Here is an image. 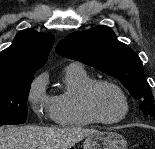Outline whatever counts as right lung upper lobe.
<instances>
[{
  "label": "right lung upper lobe",
  "mask_w": 155,
  "mask_h": 149,
  "mask_svg": "<svg viewBox=\"0 0 155 149\" xmlns=\"http://www.w3.org/2000/svg\"><path fill=\"white\" fill-rule=\"evenodd\" d=\"M55 37L32 29L20 31L0 53V78L33 75L47 60Z\"/></svg>",
  "instance_id": "right-lung-upper-lobe-1"
}]
</instances>
